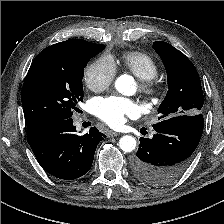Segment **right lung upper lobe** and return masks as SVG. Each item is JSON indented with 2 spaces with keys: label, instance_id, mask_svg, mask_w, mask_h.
Masks as SVG:
<instances>
[{
  "label": "right lung upper lobe",
  "instance_id": "right-lung-upper-lobe-1",
  "mask_svg": "<svg viewBox=\"0 0 224 224\" xmlns=\"http://www.w3.org/2000/svg\"><path fill=\"white\" fill-rule=\"evenodd\" d=\"M90 45V42L81 39H70L57 44L51 45L44 49V51L53 52H71L77 51Z\"/></svg>",
  "mask_w": 224,
  "mask_h": 224
}]
</instances>
